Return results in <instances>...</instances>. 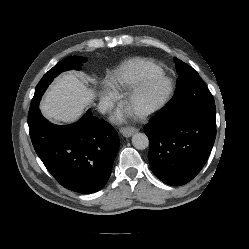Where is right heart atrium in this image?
Masks as SVG:
<instances>
[{"label":"right heart atrium","mask_w":249,"mask_h":249,"mask_svg":"<svg viewBox=\"0 0 249 249\" xmlns=\"http://www.w3.org/2000/svg\"><path fill=\"white\" fill-rule=\"evenodd\" d=\"M116 98V91L112 86H108L101 96V102L105 105L110 104Z\"/></svg>","instance_id":"right-heart-atrium-1"}]
</instances>
